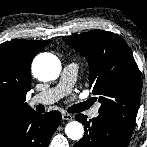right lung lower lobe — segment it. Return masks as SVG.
<instances>
[{
	"label": "right lung lower lobe",
	"instance_id": "right-lung-lower-lobe-1",
	"mask_svg": "<svg viewBox=\"0 0 147 147\" xmlns=\"http://www.w3.org/2000/svg\"><path fill=\"white\" fill-rule=\"evenodd\" d=\"M61 121L58 111H29L0 128V147H48Z\"/></svg>",
	"mask_w": 147,
	"mask_h": 147
}]
</instances>
